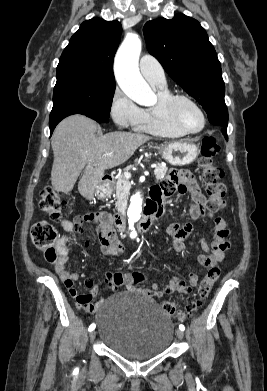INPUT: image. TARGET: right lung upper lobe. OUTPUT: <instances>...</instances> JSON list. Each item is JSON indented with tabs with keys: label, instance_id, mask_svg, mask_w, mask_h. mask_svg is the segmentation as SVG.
Segmentation results:
<instances>
[{
	"label": "right lung upper lobe",
	"instance_id": "right-lung-upper-lobe-1",
	"mask_svg": "<svg viewBox=\"0 0 267 391\" xmlns=\"http://www.w3.org/2000/svg\"><path fill=\"white\" fill-rule=\"evenodd\" d=\"M121 33L122 26L115 20L83 22L60 57L57 77L73 73L114 77L113 60Z\"/></svg>",
	"mask_w": 267,
	"mask_h": 391
}]
</instances>
